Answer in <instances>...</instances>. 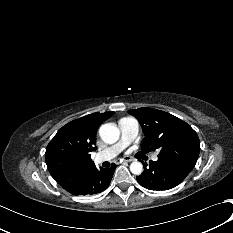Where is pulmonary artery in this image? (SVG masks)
<instances>
[{
  "mask_svg": "<svg viewBox=\"0 0 233 233\" xmlns=\"http://www.w3.org/2000/svg\"><path fill=\"white\" fill-rule=\"evenodd\" d=\"M119 128L121 132L120 139L117 143L104 149L95 155V162L101 163L109 161L116 157L124 148H126L138 135L139 124L138 121L131 117H124L119 120ZM153 161H157L158 156L153 155Z\"/></svg>",
  "mask_w": 233,
  "mask_h": 233,
  "instance_id": "e3ab8cb5",
  "label": "pulmonary artery"
}]
</instances>
